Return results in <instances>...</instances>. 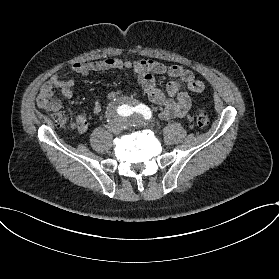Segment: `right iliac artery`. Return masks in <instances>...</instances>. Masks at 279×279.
I'll list each match as a JSON object with an SVG mask.
<instances>
[{
	"label": "right iliac artery",
	"mask_w": 279,
	"mask_h": 279,
	"mask_svg": "<svg viewBox=\"0 0 279 279\" xmlns=\"http://www.w3.org/2000/svg\"><path fill=\"white\" fill-rule=\"evenodd\" d=\"M127 114H128V111H127V109L126 108H124V107H121V108H115V109H113L112 110V112H111V115H112V117L113 118H115V119H118V118H124V117H126L127 116Z\"/></svg>",
	"instance_id": "82829eb1"
}]
</instances>
